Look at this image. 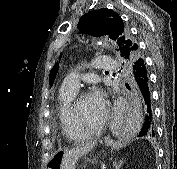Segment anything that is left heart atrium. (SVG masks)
I'll list each match as a JSON object with an SVG mask.
<instances>
[{
	"label": "left heart atrium",
	"mask_w": 177,
	"mask_h": 169,
	"mask_svg": "<svg viewBox=\"0 0 177 169\" xmlns=\"http://www.w3.org/2000/svg\"><path fill=\"white\" fill-rule=\"evenodd\" d=\"M90 96L93 99V101L96 103L97 106H99L100 108L105 109L104 96H103L102 92L99 89H94L91 92Z\"/></svg>",
	"instance_id": "1"
}]
</instances>
